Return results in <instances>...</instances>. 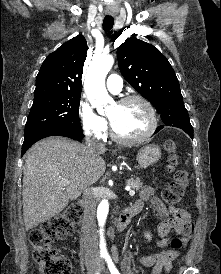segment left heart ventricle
Masks as SVG:
<instances>
[{"label":"left heart ventricle","instance_id":"b2bd125f","mask_svg":"<svg viewBox=\"0 0 221 274\" xmlns=\"http://www.w3.org/2000/svg\"><path fill=\"white\" fill-rule=\"evenodd\" d=\"M115 131L122 137L134 138L146 132L149 115L146 108L133 102L124 106L113 105L107 113Z\"/></svg>","mask_w":221,"mask_h":274}]
</instances>
